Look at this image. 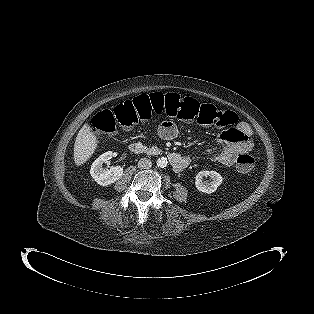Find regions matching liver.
<instances>
[{"label": "liver", "instance_id": "6515ba94", "mask_svg": "<svg viewBox=\"0 0 314 314\" xmlns=\"http://www.w3.org/2000/svg\"><path fill=\"white\" fill-rule=\"evenodd\" d=\"M99 140L88 124L80 129L74 144V162L80 166L90 159L98 147Z\"/></svg>", "mask_w": 314, "mask_h": 314}]
</instances>
